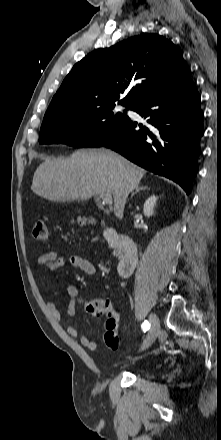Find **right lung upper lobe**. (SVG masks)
<instances>
[{"label":"right lung upper lobe","instance_id":"right-lung-upper-lobe-1","mask_svg":"<svg viewBox=\"0 0 221 440\" xmlns=\"http://www.w3.org/2000/svg\"><path fill=\"white\" fill-rule=\"evenodd\" d=\"M189 79L188 67L170 40L154 33L137 35L109 48L96 49L76 63L47 111L116 101L133 107ZM127 91L126 97L119 100Z\"/></svg>","mask_w":221,"mask_h":440}]
</instances>
